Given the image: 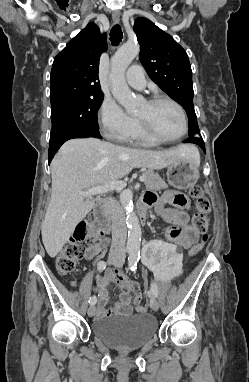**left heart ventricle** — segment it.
Segmentation results:
<instances>
[{"label":"left heart ventricle","instance_id":"obj_1","mask_svg":"<svg viewBox=\"0 0 249 382\" xmlns=\"http://www.w3.org/2000/svg\"><path fill=\"white\" fill-rule=\"evenodd\" d=\"M136 117L146 121L159 136L164 138H175L183 130L178 110L167 102L155 105L145 102L139 108Z\"/></svg>","mask_w":249,"mask_h":382}]
</instances>
